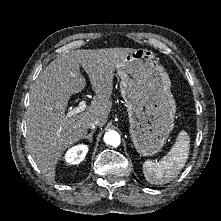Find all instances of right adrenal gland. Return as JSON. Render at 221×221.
Returning <instances> with one entry per match:
<instances>
[{
    "label": "right adrenal gland",
    "instance_id": "right-adrenal-gland-1",
    "mask_svg": "<svg viewBox=\"0 0 221 221\" xmlns=\"http://www.w3.org/2000/svg\"><path fill=\"white\" fill-rule=\"evenodd\" d=\"M94 132H95V130H92L91 133H89L88 135H85V136H84V139H88L89 142L92 143Z\"/></svg>",
    "mask_w": 221,
    "mask_h": 221
}]
</instances>
